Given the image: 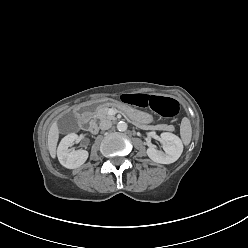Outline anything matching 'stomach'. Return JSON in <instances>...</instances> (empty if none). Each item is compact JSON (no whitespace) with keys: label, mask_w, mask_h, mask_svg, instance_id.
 I'll list each match as a JSON object with an SVG mask.
<instances>
[{"label":"stomach","mask_w":248,"mask_h":248,"mask_svg":"<svg viewBox=\"0 0 248 248\" xmlns=\"http://www.w3.org/2000/svg\"><path fill=\"white\" fill-rule=\"evenodd\" d=\"M103 106H111L113 108H118L122 112L127 113L130 118H132L133 120H135L141 124H148L152 120V117L150 114L143 113V112H141L135 108L131 109L130 107L124 105L122 102L111 100V99L98 100V101L94 102L93 104H91L89 106V109L91 111H94V110H96L100 107H103Z\"/></svg>","instance_id":"1"}]
</instances>
